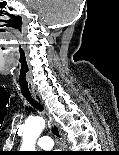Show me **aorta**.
<instances>
[{
	"label": "aorta",
	"instance_id": "762f6f07",
	"mask_svg": "<svg viewBox=\"0 0 119 155\" xmlns=\"http://www.w3.org/2000/svg\"><path fill=\"white\" fill-rule=\"evenodd\" d=\"M45 127V121L42 117H33L26 121L23 126V151H34L35 143Z\"/></svg>",
	"mask_w": 119,
	"mask_h": 155
}]
</instances>
